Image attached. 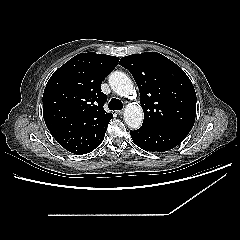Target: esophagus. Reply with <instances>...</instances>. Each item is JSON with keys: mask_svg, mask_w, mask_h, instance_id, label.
<instances>
[{"mask_svg": "<svg viewBox=\"0 0 240 240\" xmlns=\"http://www.w3.org/2000/svg\"><path fill=\"white\" fill-rule=\"evenodd\" d=\"M117 114H118V115H122V114H123V110H118V111H117Z\"/></svg>", "mask_w": 240, "mask_h": 240, "instance_id": "obj_1", "label": "esophagus"}]
</instances>
